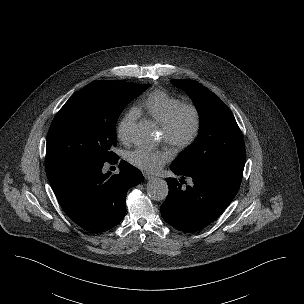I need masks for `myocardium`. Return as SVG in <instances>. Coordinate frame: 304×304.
I'll use <instances>...</instances> for the list:
<instances>
[{
	"instance_id": "obj_1",
	"label": "myocardium",
	"mask_w": 304,
	"mask_h": 304,
	"mask_svg": "<svg viewBox=\"0 0 304 304\" xmlns=\"http://www.w3.org/2000/svg\"><path fill=\"white\" fill-rule=\"evenodd\" d=\"M185 116L190 117L191 127L186 135L180 136L178 129ZM201 126L202 117L199 108L192 103H182L162 125L163 141L177 151L185 150L196 141Z\"/></svg>"
}]
</instances>
